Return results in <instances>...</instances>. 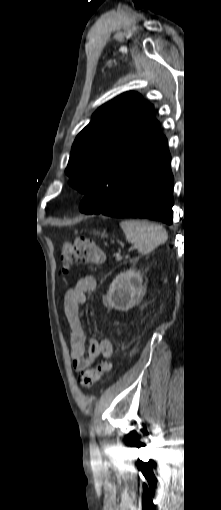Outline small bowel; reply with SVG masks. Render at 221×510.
Wrapping results in <instances>:
<instances>
[{
    "label": "small bowel",
    "instance_id": "c3829d8e",
    "mask_svg": "<svg viewBox=\"0 0 221 510\" xmlns=\"http://www.w3.org/2000/svg\"><path fill=\"white\" fill-rule=\"evenodd\" d=\"M97 288V280L87 275L68 289L64 297V314L70 326L71 359L75 370L79 373L89 371L95 360L102 356L109 359L114 354V347L108 340L91 339L86 347V334L83 328L80 308L89 292Z\"/></svg>",
    "mask_w": 221,
    "mask_h": 510
}]
</instances>
